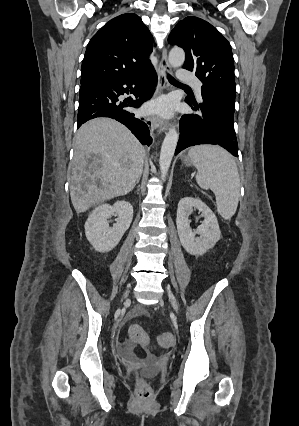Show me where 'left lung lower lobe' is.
<instances>
[{
  "label": "left lung lower lobe",
  "mask_w": 299,
  "mask_h": 426,
  "mask_svg": "<svg viewBox=\"0 0 299 426\" xmlns=\"http://www.w3.org/2000/svg\"><path fill=\"white\" fill-rule=\"evenodd\" d=\"M202 103L195 99L186 102L200 114L184 115L180 120V137L175 155L187 147L198 144L219 145L238 157V144L234 131L235 106L206 93Z\"/></svg>",
  "instance_id": "1"
}]
</instances>
